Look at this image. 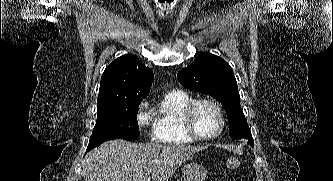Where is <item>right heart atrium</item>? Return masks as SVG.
<instances>
[{"label":"right heart atrium","mask_w":333,"mask_h":181,"mask_svg":"<svg viewBox=\"0 0 333 181\" xmlns=\"http://www.w3.org/2000/svg\"><path fill=\"white\" fill-rule=\"evenodd\" d=\"M136 119L139 127L148 135L154 136L155 122L151 112L148 110L147 102L139 104L136 112Z\"/></svg>","instance_id":"obj_1"}]
</instances>
